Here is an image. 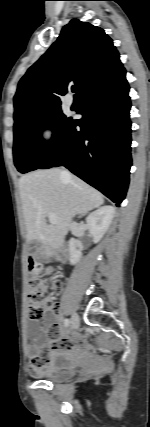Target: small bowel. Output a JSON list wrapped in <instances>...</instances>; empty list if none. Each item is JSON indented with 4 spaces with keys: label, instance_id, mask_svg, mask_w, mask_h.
Returning a JSON list of instances; mask_svg holds the SVG:
<instances>
[{
    "label": "small bowel",
    "instance_id": "c3829d8e",
    "mask_svg": "<svg viewBox=\"0 0 150 427\" xmlns=\"http://www.w3.org/2000/svg\"><path fill=\"white\" fill-rule=\"evenodd\" d=\"M51 310L53 313H48L43 321L30 326L33 343L27 348L28 370L35 376H43L48 373V366H46L47 350H43L44 348L51 347V349L57 350L82 347L85 344L84 339L81 337H61V332L55 324L57 318L55 314L59 312L60 304L53 302Z\"/></svg>",
    "mask_w": 150,
    "mask_h": 427
}]
</instances>
